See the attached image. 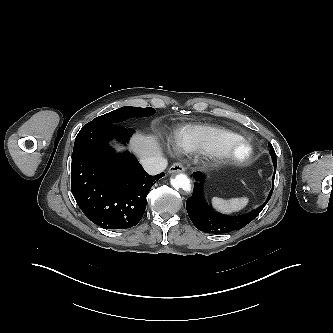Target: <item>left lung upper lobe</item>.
Masks as SVG:
<instances>
[{
	"label": "left lung upper lobe",
	"instance_id": "left-lung-upper-lobe-1",
	"mask_svg": "<svg viewBox=\"0 0 333 333\" xmlns=\"http://www.w3.org/2000/svg\"><path fill=\"white\" fill-rule=\"evenodd\" d=\"M268 146L270 148V155L272 157L273 165H274V167H276V154H275L274 148L272 147L271 143H269Z\"/></svg>",
	"mask_w": 333,
	"mask_h": 333
}]
</instances>
